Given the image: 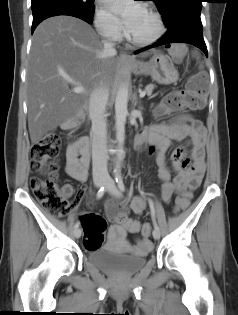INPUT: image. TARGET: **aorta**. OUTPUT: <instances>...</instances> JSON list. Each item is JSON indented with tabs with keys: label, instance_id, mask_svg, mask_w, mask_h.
I'll return each instance as SVG.
<instances>
[{
	"label": "aorta",
	"instance_id": "762f6f07",
	"mask_svg": "<svg viewBox=\"0 0 238 315\" xmlns=\"http://www.w3.org/2000/svg\"><path fill=\"white\" fill-rule=\"evenodd\" d=\"M128 104V86L126 83H122L117 91L116 99H115V127H116V138L118 140L121 149L118 154V164H120L123 158V150L122 146L124 144L125 139V124L126 117L128 114L127 109Z\"/></svg>",
	"mask_w": 238,
	"mask_h": 315
}]
</instances>
